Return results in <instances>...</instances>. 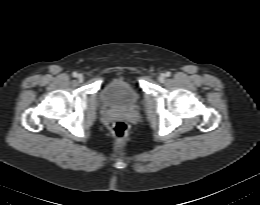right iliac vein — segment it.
<instances>
[{
  "mask_svg": "<svg viewBox=\"0 0 260 205\" xmlns=\"http://www.w3.org/2000/svg\"><path fill=\"white\" fill-rule=\"evenodd\" d=\"M77 78H78V80H79L80 82H82V81L84 80V76H83L82 74H79V75L77 76Z\"/></svg>",
  "mask_w": 260,
  "mask_h": 205,
  "instance_id": "63e3f726",
  "label": "right iliac vein"
}]
</instances>
